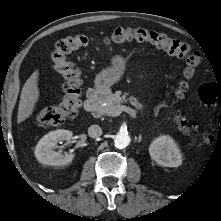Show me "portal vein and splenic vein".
I'll list each match as a JSON object with an SVG mask.
<instances>
[{
  "instance_id": "obj_1",
  "label": "portal vein and splenic vein",
  "mask_w": 221,
  "mask_h": 221,
  "mask_svg": "<svg viewBox=\"0 0 221 221\" xmlns=\"http://www.w3.org/2000/svg\"><path fill=\"white\" fill-rule=\"evenodd\" d=\"M123 111L127 112L131 117L136 118V112L130 107L124 105H118L111 111V116H119Z\"/></svg>"
}]
</instances>
